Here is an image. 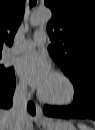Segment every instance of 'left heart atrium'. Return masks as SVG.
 Masks as SVG:
<instances>
[{"label":"left heart atrium","mask_w":95,"mask_h":130,"mask_svg":"<svg viewBox=\"0 0 95 130\" xmlns=\"http://www.w3.org/2000/svg\"><path fill=\"white\" fill-rule=\"evenodd\" d=\"M17 72L22 79L38 89H42L53 74L49 60L44 55L34 52L20 58Z\"/></svg>","instance_id":"obj_1"}]
</instances>
